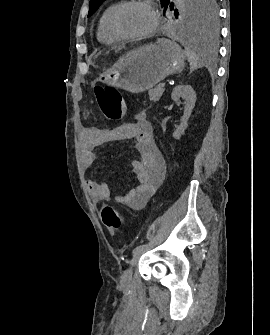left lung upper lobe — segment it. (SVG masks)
I'll use <instances>...</instances> for the list:
<instances>
[{
  "label": "left lung upper lobe",
  "instance_id": "obj_1",
  "mask_svg": "<svg viewBox=\"0 0 270 335\" xmlns=\"http://www.w3.org/2000/svg\"><path fill=\"white\" fill-rule=\"evenodd\" d=\"M105 0H90L88 17L93 15ZM164 12L170 4L175 19L185 28L214 33L217 29V8L214 0H180L175 6L169 0H160Z\"/></svg>",
  "mask_w": 270,
  "mask_h": 335
}]
</instances>
